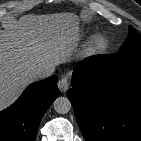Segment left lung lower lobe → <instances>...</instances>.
Returning a JSON list of instances; mask_svg holds the SVG:
<instances>
[{
  "label": "left lung lower lobe",
  "mask_w": 141,
  "mask_h": 141,
  "mask_svg": "<svg viewBox=\"0 0 141 141\" xmlns=\"http://www.w3.org/2000/svg\"><path fill=\"white\" fill-rule=\"evenodd\" d=\"M67 96L86 141H141V50L85 59Z\"/></svg>",
  "instance_id": "0a47b994"
}]
</instances>
